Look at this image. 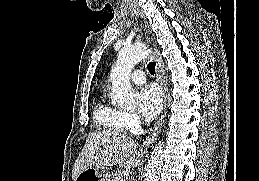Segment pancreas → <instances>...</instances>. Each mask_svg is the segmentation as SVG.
I'll return each instance as SVG.
<instances>
[{"instance_id":"cf45deb5","label":"pancreas","mask_w":259,"mask_h":181,"mask_svg":"<svg viewBox=\"0 0 259 181\" xmlns=\"http://www.w3.org/2000/svg\"><path fill=\"white\" fill-rule=\"evenodd\" d=\"M122 178H123V171L119 170V171L115 172V174L112 176L111 181H121Z\"/></svg>"}]
</instances>
